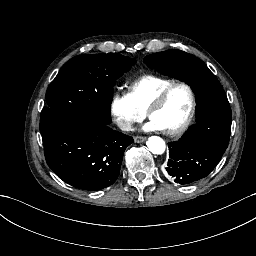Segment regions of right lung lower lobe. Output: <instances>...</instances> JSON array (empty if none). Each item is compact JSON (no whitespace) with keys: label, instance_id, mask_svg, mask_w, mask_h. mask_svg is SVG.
Instances as JSON below:
<instances>
[{"label":"right lung lower lobe","instance_id":"98d812e1","mask_svg":"<svg viewBox=\"0 0 256 256\" xmlns=\"http://www.w3.org/2000/svg\"><path fill=\"white\" fill-rule=\"evenodd\" d=\"M48 166L67 184L84 190L112 185L133 138L107 125L84 123L71 131L53 127L42 134Z\"/></svg>","mask_w":256,"mask_h":256}]
</instances>
